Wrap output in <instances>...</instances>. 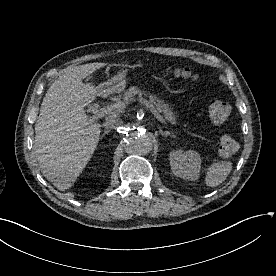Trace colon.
I'll return each mask as SVG.
<instances>
[{
    "label": "colon",
    "instance_id": "obj_1",
    "mask_svg": "<svg viewBox=\"0 0 276 276\" xmlns=\"http://www.w3.org/2000/svg\"><path fill=\"white\" fill-rule=\"evenodd\" d=\"M171 75L183 79H195L197 77L196 73L187 67L176 68L170 71ZM230 106L228 103L222 100H214L209 106V119L214 124L224 123L230 115ZM239 148L238 142L231 135H223L220 138L218 150L221 156L231 157L233 156Z\"/></svg>",
    "mask_w": 276,
    "mask_h": 276
}]
</instances>
